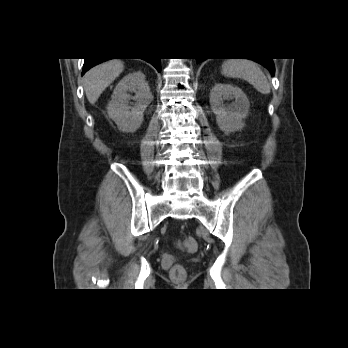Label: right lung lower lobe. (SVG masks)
<instances>
[{
	"mask_svg": "<svg viewBox=\"0 0 348 348\" xmlns=\"http://www.w3.org/2000/svg\"><path fill=\"white\" fill-rule=\"evenodd\" d=\"M106 61V59H100V58H86L84 61L83 71L82 75L85 74L86 71H88L91 67ZM149 63H151L159 72L161 71V60L160 58H152V59H146Z\"/></svg>",
	"mask_w": 348,
	"mask_h": 348,
	"instance_id": "obj_1",
	"label": "right lung lower lobe"
}]
</instances>
